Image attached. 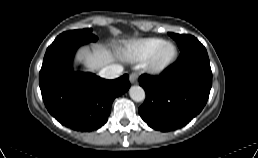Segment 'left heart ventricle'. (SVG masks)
I'll use <instances>...</instances> for the list:
<instances>
[{
	"label": "left heart ventricle",
	"instance_id": "b2bd125f",
	"mask_svg": "<svg viewBox=\"0 0 258 158\" xmlns=\"http://www.w3.org/2000/svg\"><path fill=\"white\" fill-rule=\"evenodd\" d=\"M174 54V48L170 45L164 46L158 54L156 59L157 63H162L168 59H170Z\"/></svg>",
	"mask_w": 258,
	"mask_h": 158
}]
</instances>
